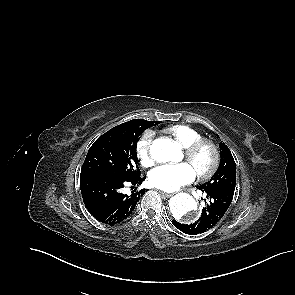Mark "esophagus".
Here are the masks:
<instances>
[{
    "instance_id": "1",
    "label": "esophagus",
    "mask_w": 295,
    "mask_h": 295,
    "mask_svg": "<svg viewBox=\"0 0 295 295\" xmlns=\"http://www.w3.org/2000/svg\"><path fill=\"white\" fill-rule=\"evenodd\" d=\"M163 197H166V198H169V197H171L173 194H171V193H166V192H164V191H161V190H159L158 191Z\"/></svg>"
}]
</instances>
